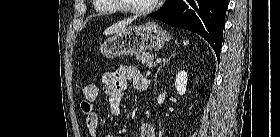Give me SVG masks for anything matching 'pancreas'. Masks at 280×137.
<instances>
[{"label": "pancreas", "instance_id": "pancreas-1", "mask_svg": "<svg viewBox=\"0 0 280 137\" xmlns=\"http://www.w3.org/2000/svg\"><path fill=\"white\" fill-rule=\"evenodd\" d=\"M154 54H151V53H142L140 56H139V61H141V63L143 65H146L147 67L149 68H152L155 66V62H154Z\"/></svg>", "mask_w": 280, "mask_h": 137}]
</instances>
